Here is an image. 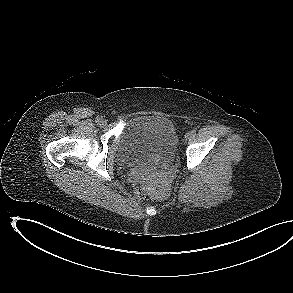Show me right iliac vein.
<instances>
[{"mask_svg": "<svg viewBox=\"0 0 293 293\" xmlns=\"http://www.w3.org/2000/svg\"><path fill=\"white\" fill-rule=\"evenodd\" d=\"M100 124H101V125H106V124H107V121H106L105 119H101V120H100Z\"/></svg>", "mask_w": 293, "mask_h": 293, "instance_id": "1", "label": "right iliac vein"}]
</instances>
